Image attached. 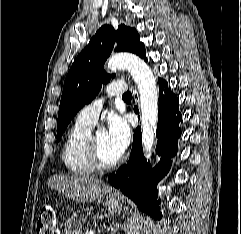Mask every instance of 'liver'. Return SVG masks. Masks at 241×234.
<instances>
[{"label": "liver", "instance_id": "1", "mask_svg": "<svg viewBox=\"0 0 241 234\" xmlns=\"http://www.w3.org/2000/svg\"><path fill=\"white\" fill-rule=\"evenodd\" d=\"M47 185L65 197L82 203L101 199L112 189L97 178L78 175H53L47 180Z\"/></svg>", "mask_w": 241, "mask_h": 234}]
</instances>
